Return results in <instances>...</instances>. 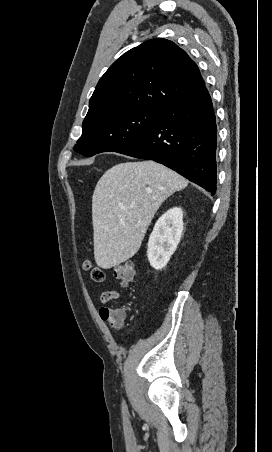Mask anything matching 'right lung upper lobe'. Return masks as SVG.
<instances>
[{
    "instance_id": "1",
    "label": "right lung upper lobe",
    "mask_w": 272,
    "mask_h": 452,
    "mask_svg": "<svg viewBox=\"0 0 272 452\" xmlns=\"http://www.w3.org/2000/svg\"><path fill=\"white\" fill-rule=\"evenodd\" d=\"M205 85L174 42L152 39L116 60L99 80L84 121L134 108L166 111Z\"/></svg>"
}]
</instances>
